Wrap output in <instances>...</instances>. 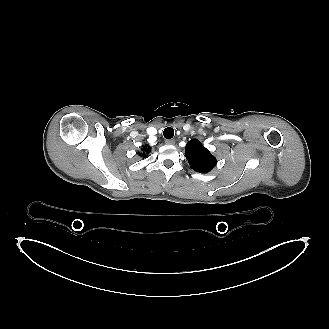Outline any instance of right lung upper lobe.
I'll return each instance as SVG.
<instances>
[{"mask_svg":"<svg viewBox=\"0 0 329 329\" xmlns=\"http://www.w3.org/2000/svg\"><path fill=\"white\" fill-rule=\"evenodd\" d=\"M144 151H145L146 153H148V152L150 151L149 147H148V148L145 147V148H144ZM140 156H145V153L143 152L142 154H140ZM145 157H146V156H145Z\"/></svg>","mask_w":329,"mask_h":329,"instance_id":"obj_1","label":"right lung upper lobe"}]
</instances>
